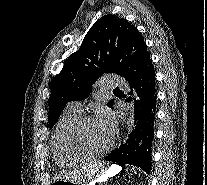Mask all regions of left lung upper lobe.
I'll list each match as a JSON object with an SVG mask.
<instances>
[{
	"instance_id": "obj_1",
	"label": "left lung upper lobe",
	"mask_w": 207,
	"mask_h": 185,
	"mask_svg": "<svg viewBox=\"0 0 207 185\" xmlns=\"http://www.w3.org/2000/svg\"><path fill=\"white\" fill-rule=\"evenodd\" d=\"M151 64L143 37L133 25L115 15L101 17L51 82L50 129L65 105L87 98L93 83L103 74L116 73L128 81ZM113 103L114 99L107 105L111 107Z\"/></svg>"
}]
</instances>
